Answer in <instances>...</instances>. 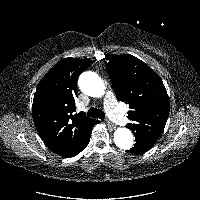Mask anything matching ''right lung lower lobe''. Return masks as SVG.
<instances>
[{
    "mask_svg": "<svg viewBox=\"0 0 200 200\" xmlns=\"http://www.w3.org/2000/svg\"><path fill=\"white\" fill-rule=\"evenodd\" d=\"M98 123V122H97ZM96 124V123H95ZM94 124V125H95ZM93 125V126H94ZM92 126V127H93ZM92 127L89 129V131L87 132V134H86V136L84 137V139H83V141L80 143V146H79V148L77 149V151H76V153L73 155V156H75V155H77L78 153H80L87 145H88V143H89V141H90V136H91V132H92Z\"/></svg>",
    "mask_w": 200,
    "mask_h": 200,
    "instance_id": "obj_1",
    "label": "right lung lower lobe"
}]
</instances>
